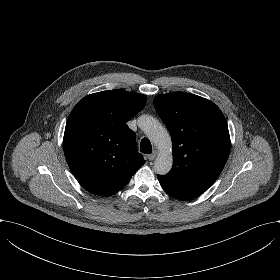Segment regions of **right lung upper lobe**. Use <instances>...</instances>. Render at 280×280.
<instances>
[{
  "label": "right lung upper lobe",
  "instance_id": "cb5924a9",
  "mask_svg": "<svg viewBox=\"0 0 280 280\" xmlns=\"http://www.w3.org/2000/svg\"><path fill=\"white\" fill-rule=\"evenodd\" d=\"M146 101L145 95L116 89L88 95L72 110L63 148L70 170L87 191L111 196L145 163L126 122Z\"/></svg>",
  "mask_w": 280,
  "mask_h": 280
}]
</instances>
